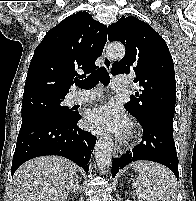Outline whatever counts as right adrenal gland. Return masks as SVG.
<instances>
[{"mask_svg":"<svg viewBox=\"0 0 196 201\" xmlns=\"http://www.w3.org/2000/svg\"><path fill=\"white\" fill-rule=\"evenodd\" d=\"M77 190L81 191L78 176H76L75 184L72 186L70 193L76 192Z\"/></svg>","mask_w":196,"mask_h":201,"instance_id":"obj_1","label":"right adrenal gland"}]
</instances>
